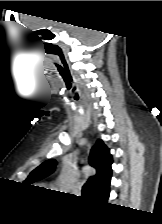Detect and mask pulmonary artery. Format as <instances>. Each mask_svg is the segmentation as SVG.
I'll use <instances>...</instances> for the list:
<instances>
[{"instance_id": "pulmonary-artery-1", "label": "pulmonary artery", "mask_w": 162, "mask_h": 224, "mask_svg": "<svg viewBox=\"0 0 162 224\" xmlns=\"http://www.w3.org/2000/svg\"><path fill=\"white\" fill-rule=\"evenodd\" d=\"M80 188H81V185H80V184H77V185L73 188V191H74V192H79Z\"/></svg>"}]
</instances>
